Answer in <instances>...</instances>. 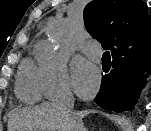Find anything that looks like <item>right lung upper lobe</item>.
Here are the masks:
<instances>
[{
	"instance_id": "right-lung-upper-lobe-1",
	"label": "right lung upper lobe",
	"mask_w": 151,
	"mask_h": 131,
	"mask_svg": "<svg viewBox=\"0 0 151 131\" xmlns=\"http://www.w3.org/2000/svg\"><path fill=\"white\" fill-rule=\"evenodd\" d=\"M84 22L111 50L113 60L134 63L151 58V17L142 0H93L84 9Z\"/></svg>"
}]
</instances>
